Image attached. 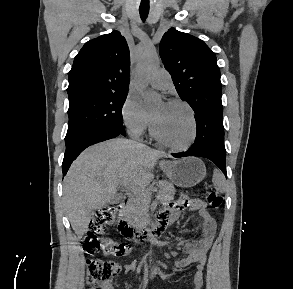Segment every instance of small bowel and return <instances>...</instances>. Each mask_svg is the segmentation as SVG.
<instances>
[{
  "instance_id": "c3829d8e",
  "label": "small bowel",
  "mask_w": 293,
  "mask_h": 289,
  "mask_svg": "<svg viewBox=\"0 0 293 289\" xmlns=\"http://www.w3.org/2000/svg\"><path fill=\"white\" fill-rule=\"evenodd\" d=\"M185 208L195 212V220L203 223L202 236L183 244L184 257L176 260L175 266L178 269L185 268L191 264H196L194 274L195 289H201L203 286V270L206 264L207 253L209 252L216 233V221L207 211L206 204L196 198H190L187 201H179L168 211L160 214V218L166 224L172 225L180 216ZM137 267L136 262H130L124 265L125 273L134 271ZM140 289H145L141 287Z\"/></svg>"
}]
</instances>
